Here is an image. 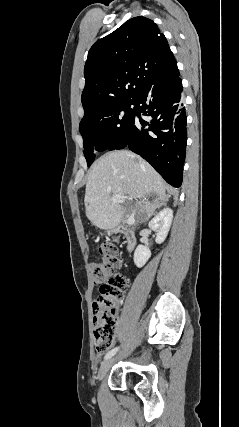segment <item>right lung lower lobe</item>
I'll use <instances>...</instances> for the list:
<instances>
[{
    "mask_svg": "<svg viewBox=\"0 0 239 427\" xmlns=\"http://www.w3.org/2000/svg\"><path fill=\"white\" fill-rule=\"evenodd\" d=\"M182 90L179 72L144 89L136 98L128 140L119 148L140 155L173 187L181 186L186 155Z\"/></svg>",
    "mask_w": 239,
    "mask_h": 427,
    "instance_id": "obj_1",
    "label": "right lung lower lobe"
}]
</instances>
